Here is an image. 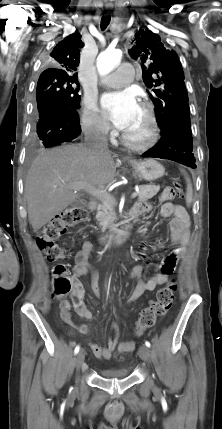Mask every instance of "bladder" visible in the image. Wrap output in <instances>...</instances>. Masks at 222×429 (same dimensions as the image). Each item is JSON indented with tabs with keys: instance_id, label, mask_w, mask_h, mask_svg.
I'll use <instances>...</instances> for the list:
<instances>
[{
	"instance_id": "obj_1",
	"label": "bladder",
	"mask_w": 222,
	"mask_h": 429,
	"mask_svg": "<svg viewBox=\"0 0 222 429\" xmlns=\"http://www.w3.org/2000/svg\"><path fill=\"white\" fill-rule=\"evenodd\" d=\"M128 371L126 369H112V370H105L101 373L103 377L107 378H124L128 375Z\"/></svg>"
}]
</instances>
